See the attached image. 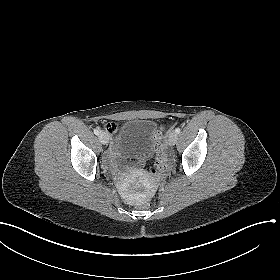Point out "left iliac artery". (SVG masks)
Masks as SVG:
<instances>
[{"instance_id":"obj_1","label":"left iliac artery","mask_w":280,"mask_h":280,"mask_svg":"<svg viewBox=\"0 0 280 280\" xmlns=\"http://www.w3.org/2000/svg\"><path fill=\"white\" fill-rule=\"evenodd\" d=\"M180 131H181L180 128H176V129H175V132H176L177 134H179Z\"/></svg>"}]
</instances>
